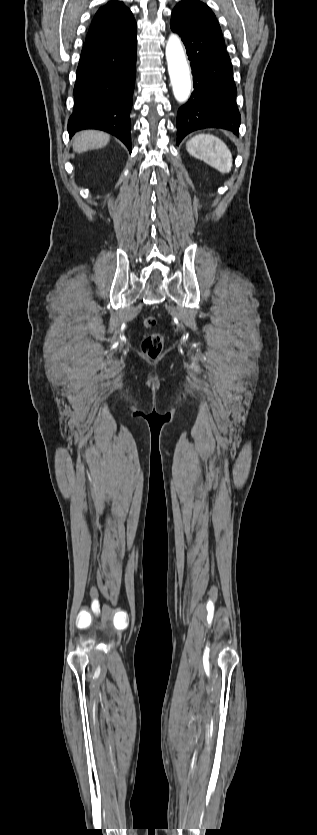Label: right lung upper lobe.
Masks as SVG:
<instances>
[{"label":"right lung upper lobe","mask_w":317,"mask_h":835,"mask_svg":"<svg viewBox=\"0 0 317 835\" xmlns=\"http://www.w3.org/2000/svg\"><path fill=\"white\" fill-rule=\"evenodd\" d=\"M136 34L132 12L116 0L108 2L95 14L86 41L97 39L103 44H117Z\"/></svg>","instance_id":"right-lung-upper-lobe-1"}]
</instances>
